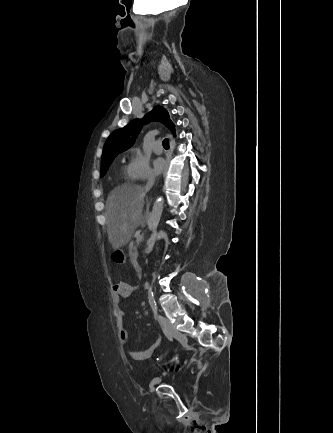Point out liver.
Returning a JSON list of instances; mask_svg holds the SVG:
<instances>
[{
	"instance_id": "liver-1",
	"label": "liver",
	"mask_w": 333,
	"mask_h": 433,
	"mask_svg": "<svg viewBox=\"0 0 333 433\" xmlns=\"http://www.w3.org/2000/svg\"><path fill=\"white\" fill-rule=\"evenodd\" d=\"M149 190L136 184H123L110 192L105 207L108 240L114 250L125 246L143 224V207Z\"/></svg>"
}]
</instances>
